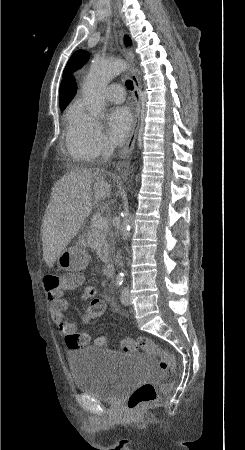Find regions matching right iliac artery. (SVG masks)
I'll return each mask as SVG.
<instances>
[{
    "mask_svg": "<svg viewBox=\"0 0 245 450\" xmlns=\"http://www.w3.org/2000/svg\"><path fill=\"white\" fill-rule=\"evenodd\" d=\"M124 281V276L123 275H118L116 278V284L118 287H122Z\"/></svg>",
    "mask_w": 245,
    "mask_h": 450,
    "instance_id": "right-iliac-artery-1",
    "label": "right iliac artery"
}]
</instances>
